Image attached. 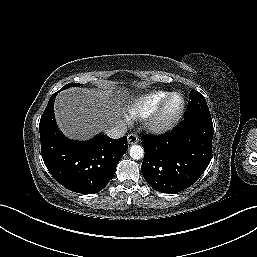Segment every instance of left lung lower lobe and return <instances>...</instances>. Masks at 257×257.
<instances>
[{
	"label": "left lung lower lobe",
	"instance_id": "1",
	"mask_svg": "<svg viewBox=\"0 0 257 257\" xmlns=\"http://www.w3.org/2000/svg\"><path fill=\"white\" fill-rule=\"evenodd\" d=\"M213 133L212 119L195 117L184 119L162 136H142L143 177L162 193L190 187L210 163Z\"/></svg>",
	"mask_w": 257,
	"mask_h": 257
}]
</instances>
